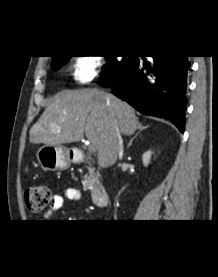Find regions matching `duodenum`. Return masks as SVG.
Masks as SVG:
<instances>
[{
	"mask_svg": "<svg viewBox=\"0 0 218 277\" xmlns=\"http://www.w3.org/2000/svg\"><path fill=\"white\" fill-rule=\"evenodd\" d=\"M70 159L77 162H84L85 156L82 153L71 151ZM92 200L98 207H105L108 205L109 195L106 188L102 185H95L92 188Z\"/></svg>",
	"mask_w": 218,
	"mask_h": 277,
	"instance_id": "410a0bca",
	"label": "duodenum"
}]
</instances>
